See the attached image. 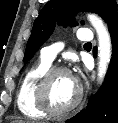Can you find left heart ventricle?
I'll list each match as a JSON object with an SVG mask.
<instances>
[{"label":"left heart ventricle","instance_id":"1","mask_svg":"<svg viewBox=\"0 0 118 123\" xmlns=\"http://www.w3.org/2000/svg\"><path fill=\"white\" fill-rule=\"evenodd\" d=\"M51 100L59 108L69 105L77 95V84L68 73L57 74L51 85Z\"/></svg>","mask_w":118,"mask_h":123}]
</instances>
